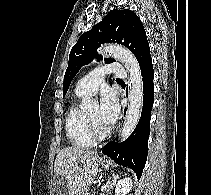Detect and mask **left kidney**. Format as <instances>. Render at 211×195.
I'll use <instances>...</instances> for the list:
<instances>
[{
    "label": "left kidney",
    "instance_id": "left-kidney-1",
    "mask_svg": "<svg viewBox=\"0 0 211 195\" xmlns=\"http://www.w3.org/2000/svg\"><path fill=\"white\" fill-rule=\"evenodd\" d=\"M133 187V182L130 177L120 179L115 188V195H126Z\"/></svg>",
    "mask_w": 211,
    "mask_h": 195
}]
</instances>
